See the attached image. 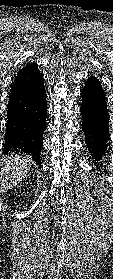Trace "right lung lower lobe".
<instances>
[{"label": "right lung lower lobe", "instance_id": "98d812e1", "mask_svg": "<svg viewBox=\"0 0 113 279\" xmlns=\"http://www.w3.org/2000/svg\"><path fill=\"white\" fill-rule=\"evenodd\" d=\"M7 108L3 153L28 154L41 165L47 104L44 79L37 64L13 82Z\"/></svg>", "mask_w": 113, "mask_h": 279}]
</instances>
